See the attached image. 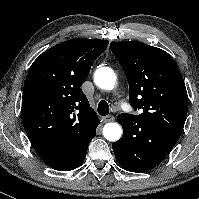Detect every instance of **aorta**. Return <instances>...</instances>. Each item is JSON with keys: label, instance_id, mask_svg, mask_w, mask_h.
Masks as SVG:
<instances>
[{"label": "aorta", "instance_id": "1", "mask_svg": "<svg viewBox=\"0 0 199 199\" xmlns=\"http://www.w3.org/2000/svg\"><path fill=\"white\" fill-rule=\"evenodd\" d=\"M95 84L104 90H112L116 84V75L109 67H101L94 74ZM103 135L109 141H117L122 136V128L118 123H107L103 128Z\"/></svg>", "mask_w": 199, "mask_h": 199}]
</instances>
